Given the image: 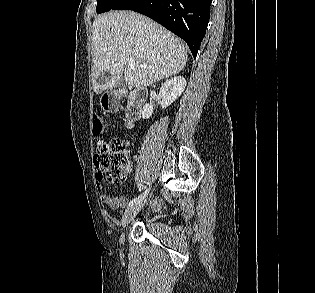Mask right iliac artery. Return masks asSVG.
<instances>
[{
	"label": "right iliac artery",
	"mask_w": 315,
	"mask_h": 293,
	"mask_svg": "<svg viewBox=\"0 0 315 293\" xmlns=\"http://www.w3.org/2000/svg\"><path fill=\"white\" fill-rule=\"evenodd\" d=\"M149 190L147 189L143 194H141L140 196L132 199L129 204L128 207L133 206L134 204L139 203L140 201H142L148 194Z\"/></svg>",
	"instance_id": "right-iliac-artery-1"
}]
</instances>
